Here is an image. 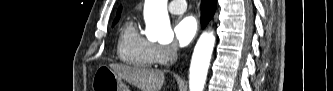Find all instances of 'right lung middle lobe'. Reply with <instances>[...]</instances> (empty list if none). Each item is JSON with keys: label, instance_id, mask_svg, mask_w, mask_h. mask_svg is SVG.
<instances>
[{"label": "right lung middle lobe", "instance_id": "1", "mask_svg": "<svg viewBox=\"0 0 333 91\" xmlns=\"http://www.w3.org/2000/svg\"><path fill=\"white\" fill-rule=\"evenodd\" d=\"M119 18H116L113 22V26L118 22Z\"/></svg>", "mask_w": 333, "mask_h": 91}]
</instances>
